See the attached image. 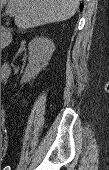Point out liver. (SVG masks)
<instances>
[{
  "mask_svg": "<svg viewBox=\"0 0 109 170\" xmlns=\"http://www.w3.org/2000/svg\"><path fill=\"white\" fill-rule=\"evenodd\" d=\"M5 1H2V3ZM79 1L80 0H7L9 6L15 9V24L20 29L65 21L74 16Z\"/></svg>",
  "mask_w": 109,
  "mask_h": 170,
  "instance_id": "liver-1",
  "label": "liver"
}]
</instances>
